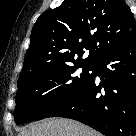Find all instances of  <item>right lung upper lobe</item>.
Wrapping results in <instances>:
<instances>
[{
  "label": "right lung upper lobe",
  "mask_w": 136,
  "mask_h": 136,
  "mask_svg": "<svg viewBox=\"0 0 136 136\" xmlns=\"http://www.w3.org/2000/svg\"><path fill=\"white\" fill-rule=\"evenodd\" d=\"M134 37L136 21L123 0H64L37 19L18 82L50 67L94 63Z\"/></svg>",
  "instance_id": "obj_1"
}]
</instances>
